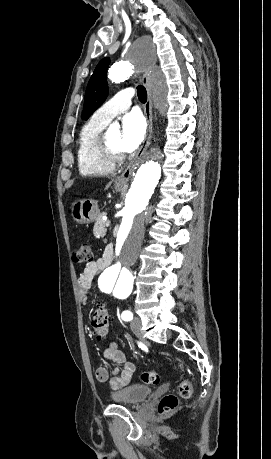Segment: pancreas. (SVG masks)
Listing matches in <instances>:
<instances>
[{"mask_svg":"<svg viewBox=\"0 0 271 459\" xmlns=\"http://www.w3.org/2000/svg\"><path fill=\"white\" fill-rule=\"evenodd\" d=\"M106 223V220H102V216H100V218H97L96 224L94 226V233L97 239H102L105 236Z\"/></svg>","mask_w":271,"mask_h":459,"instance_id":"1","label":"pancreas"}]
</instances>
